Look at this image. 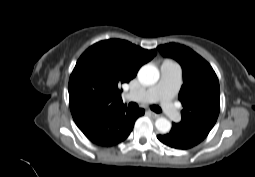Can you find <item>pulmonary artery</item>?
I'll return each mask as SVG.
<instances>
[{
    "label": "pulmonary artery",
    "mask_w": 255,
    "mask_h": 177,
    "mask_svg": "<svg viewBox=\"0 0 255 177\" xmlns=\"http://www.w3.org/2000/svg\"><path fill=\"white\" fill-rule=\"evenodd\" d=\"M180 86V71L175 66L163 63L161 67V78L159 82L143 91L140 94H130L133 100L143 103H153L159 101L166 115L173 121H180V112L176 109L172 102V98L178 91Z\"/></svg>",
    "instance_id": "obj_1"
}]
</instances>
